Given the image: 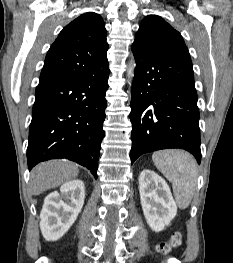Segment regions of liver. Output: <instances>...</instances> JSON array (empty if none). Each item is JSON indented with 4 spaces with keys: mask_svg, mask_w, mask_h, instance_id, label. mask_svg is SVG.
<instances>
[{
    "mask_svg": "<svg viewBox=\"0 0 233 263\" xmlns=\"http://www.w3.org/2000/svg\"><path fill=\"white\" fill-rule=\"evenodd\" d=\"M76 164L66 160H51L37 165L30 176V193L39 195L42 192L56 188L78 176Z\"/></svg>",
    "mask_w": 233,
    "mask_h": 263,
    "instance_id": "1",
    "label": "liver"
}]
</instances>
